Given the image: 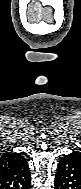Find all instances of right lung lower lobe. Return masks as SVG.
<instances>
[{
  "mask_svg": "<svg viewBox=\"0 0 81 189\" xmlns=\"http://www.w3.org/2000/svg\"><path fill=\"white\" fill-rule=\"evenodd\" d=\"M0 189H31V175L26 160L0 173Z\"/></svg>",
  "mask_w": 81,
  "mask_h": 189,
  "instance_id": "1",
  "label": "right lung lower lobe"
}]
</instances>
